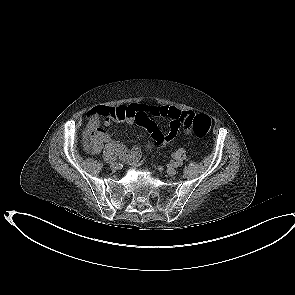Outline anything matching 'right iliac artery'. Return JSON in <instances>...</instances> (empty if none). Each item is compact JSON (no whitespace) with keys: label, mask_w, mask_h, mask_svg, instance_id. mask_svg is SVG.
Instances as JSON below:
<instances>
[{"label":"right iliac artery","mask_w":295,"mask_h":295,"mask_svg":"<svg viewBox=\"0 0 295 295\" xmlns=\"http://www.w3.org/2000/svg\"><path fill=\"white\" fill-rule=\"evenodd\" d=\"M115 160H117V158H116V156H113V157L111 158V161H115Z\"/></svg>","instance_id":"right-iliac-artery-1"}]
</instances>
